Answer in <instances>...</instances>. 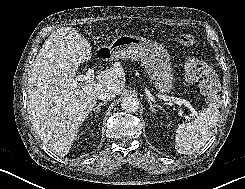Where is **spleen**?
<instances>
[{"label":"spleen","instance_id":"1","mask_svg":"<svg viewBox=\"0 0 245 189\" xmlns=\"http://www.w3.org/2000/svg\"><path fill=\"white\" fill-rule=\"evenodd\" d=\"M220 112L211 106L199 113L196 119L182 123L176 129L175 148L180 154H191L202 148L213 135Z\"/></svg>","mask_w":245,"mask_h":189}]
</instances>
